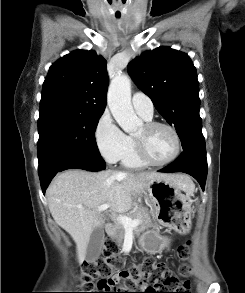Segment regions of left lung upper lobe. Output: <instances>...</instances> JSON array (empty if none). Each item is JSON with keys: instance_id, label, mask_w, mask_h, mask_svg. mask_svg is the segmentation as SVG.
I'll use <instances>...</instances> for the list:
<instances>
[{"instance_id": "left-lung-upper-lobe-1", "label": "left lung upper lobe", "mask_w": 245, "mask_h": 293, "mask_svg": "<svg viewBox=\"0 0 245 293\" xmlns=\"http://www.w3.org/2000/svg\"><path fill=\"white\" fill-rule=\"evenodd\" d=\"M128 72L158 112L175 126L183 150L206 153L199 83L190 57L169 47H158L132 60Z\"/></svg>"}]
</instances>
